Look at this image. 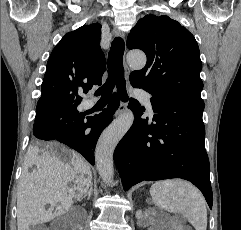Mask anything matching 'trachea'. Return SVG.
I'll return each mask as SVG.
<instances>
[{"mask_svg": "<svg viewBox=\"0 0 241 230\" xmlns=\"http://www.w3.org/2000/svg\"><path fill=\"white\" fill-rule=\"evenodd\" d=\"M125 44L121 37H116L111 45L108 54V78L96 92V96H101L99 102L107 103L113 88L117 87V93L122 101H127L126 82L124 79L123 53Z\"/></svg>", "mask_w": 241, "mask_h": 230, "instance_id": "trachea-1", "label": "trachea"}]
</instances>
